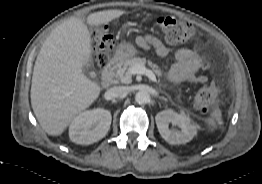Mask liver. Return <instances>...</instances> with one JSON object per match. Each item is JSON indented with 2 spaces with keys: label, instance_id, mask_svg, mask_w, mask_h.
Returning <instances> with one entry per match:
<instances>
[{
  "label": "liver",
  "instance_id": "1",
  "mask_svg": "<svg viewBox=\"0 0 262 184\" xmlns=\"http://www.w3.org/2000/svg\"><path fill=\"white\" fill-rule=\"evenodd\" d=\"M124 13L100 11L86 20L91 26H100ZM91 56V34L77 17L61 23L44 41L35 61L30 96L34 114L47 134L61 135L98 98L100 86L83 73Z\"/></svg>",
  "mask_w": 262,
  "mask_h": 184
}]
</instances>
